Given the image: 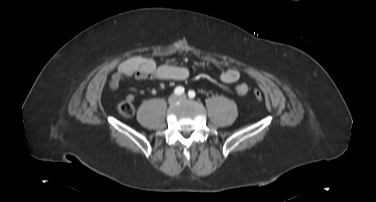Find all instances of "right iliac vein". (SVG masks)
<instances>
[{
  "label": "right iliac vein",
  "mask_w": 376,
  "mask_h": 202,
  "mask_svg": "<svg viewBox=\"0 0 376 202\" xmlns=\"http://www.w3.org/2000/svg\"><path fill=\"white\" fill-rule=\"evenodd\" d=\"M178 100V97L175 95V94H172L169 99H168V102L169 104L173 105L176 103V101Z\"/></svg>",
  "instance_id": "obj_1"
}]
</instances>
